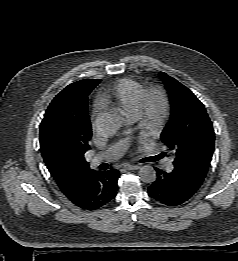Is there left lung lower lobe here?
I'll return each mask as SVG.
<instances>
[{
	"label": "left lung lower lobe",
	"mask_w": 238,
	"mask_h": 261,
	"mask_svg": "<svg viewBox=\"0 0 238 261\" xmlns=\"http://www.w3.org/2000/svg\"><path fill=\"white\" fill-rule=\"evenodd\" d=\"M156 180L148 188V194L156 201L177 206L190 199L201 186L204 178L173 168L166 172L155 167Z\"/></svg>",
	"instance_id": "left-lung-lower-lobe-1"
}]
</instances>
